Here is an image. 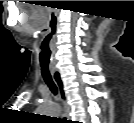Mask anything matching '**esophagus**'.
Masks as SVG:
<instances>
[{"mask_svg": "<svg viewBox=\"0 0 134 123\" xmlns=\"http://www.w3.org/2000/svg\"><path fill=\"white\" fill-rule=\"evenodd\" d=\"M49 69H50L51 75L53 77V80L58 88L59 96H60V99H61L63 106H64L63 118H67L68 113H69V105L67 103V94L65 91V87H64V83H63V80L61 77V73L56 67H54L52 65L49 66Z\"/></svg>", "mask_w": 134, "mask_h": 123, "instance_id": "esophagus-1", "label": "esophagus"}]
</instances>
